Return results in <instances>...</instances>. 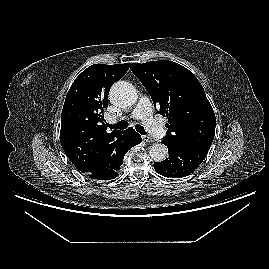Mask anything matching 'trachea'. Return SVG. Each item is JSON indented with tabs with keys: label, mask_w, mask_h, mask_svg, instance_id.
<instances>
[{
	"label": "trachea",
	"mask_w": 269,
	"mask_h": 269,
	"mask_svg": "<svg viewBox=\"0 0 269 269\" xmlns=\"http://www.w3.org/2000/svg\"><path fill=\"white\" fill-rule=\"evenodd\" d=\"M108 127H110L111 129H120V130H122V129H126L128 127V122H126L125 120H122V121H119L118 123H116L114 125L108 124ZM135 129L142 135L146 134L145 129L141 125H136Z\"/></svg>",
	"instance_id": "obj_1"
}]
</instances>
